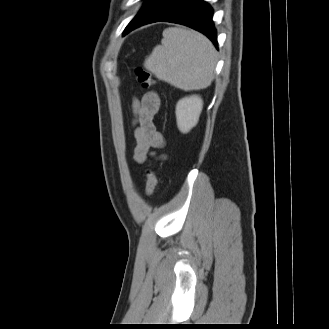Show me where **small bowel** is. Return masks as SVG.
Instances as JSON below:
<instances>
[{"mask_svg": "<svg viewBox=\"0 0 329 329\" xmlns=\"http://www.w3.org/2000/svg\"><path fill=\"white\" fill-rule=\"evenodd\" d=\"M160 107V98L155 92H148L141 100L133 101V111L136 124L134 138V160L142 164L151 155L152 150L164 145V138L155 124V117Z\"/></svg>", "mask_w": 329, "mask_h": 329, "instance_id": "obj_1", "label": "small bowel"}]
</instances>
